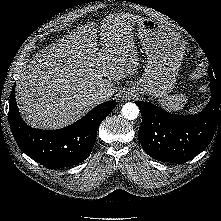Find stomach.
I'll use <instances>...</instances> for the list:
<instances>
[{
  "label": "stomach",
  "instance_id": "1",
  "mask_svg": "<svg viewBox=\"0 0 221 221\" xmlns=\"http://www.w3.org/2000/svg\"><path fill=\"white\" fill-rule=\"evenodd\" d=\"M127 22L137 25L138 33L147 55L142 77L127 89H135L155 98L167 96L174 88L185 41L172 27L149 18L131 16Z\"/></svg>",
  "mask_w": 221,
  "mask_h": 221
}]
</instances>
